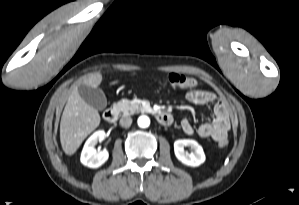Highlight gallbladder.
<instances>
[{"label": "gallbladder", "instance_id": "1", "mask_svg": "<svg viewBox=\"0 0 299 205\" xmlns=\"http://www.w3.org/2000/svg\"><path fill=\"white\" fill-rule=\"evenodd\" d=\"M81 98L90 106L97 110H103L107 106V99L104 92L99 88H92L85 84L78 86Z\"/></svg>", "mask_w": 299, "mask_h": 205}]
</instances>
